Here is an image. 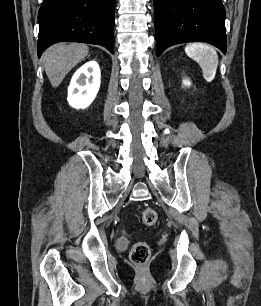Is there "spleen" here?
I'll return each instance as SVG.
<instances>
[{"mask_svg":"<svg viewBox=\"0 0 261 306\" xmlns=\"http://www.w3.org/2000/svg\"><path fill=\"white\" fill-rule=\"evenodd\" d=\"M185 52L200 65L204 79L208 82L213 81L218 67L216 50L207 44L192 43L185 47Z\"/></svg>","mask_w":261,"mask_h":306,"instance_id":"3e777b00","label":"spleen"}]
</instances>
